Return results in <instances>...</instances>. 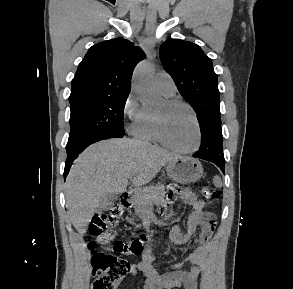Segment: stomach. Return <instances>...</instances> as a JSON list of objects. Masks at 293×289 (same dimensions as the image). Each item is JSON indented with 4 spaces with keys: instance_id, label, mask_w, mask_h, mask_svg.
<instances>
[{
    "instance_id": "stomach-1",
    "label": "stomach",
    "mask_w": 293,
    "mask_h": 289,
    "mask_svg": "<svg viewBox=\"0 0 293 289\" xmlns=\"http://www.w3.org/2000/svg\"><path fill=\"white\" fill-rule=\"evenodd\" d=\"M167 176L181 184L195 183L203 176L202 164L190 157H178L168 162Z\"/></svg>"
}]
</instances>
